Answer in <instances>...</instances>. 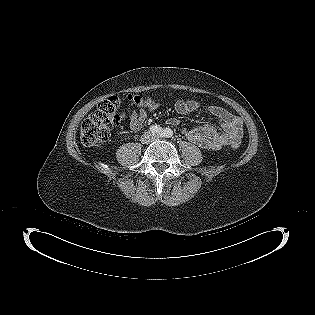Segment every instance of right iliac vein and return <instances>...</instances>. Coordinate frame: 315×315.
Here are the masks:
<instances>
[{
    "label": "right iliac vein",
    "mask_w": 315,
    "mask_h": 315,
    "mask_svg": "<svg viewBox=\"0 0 315 315\" xmlns=\"http://www.w3.org/2000/svg\"><path fill=\"white\" fill-rule=\"evenodd\" d=\"M150 141H151V136L148 133H145L141 138V142L143 144H148Z\"/></svg>",
    "instance_id": "right-iliac-vein-1"
}]
</instances>
